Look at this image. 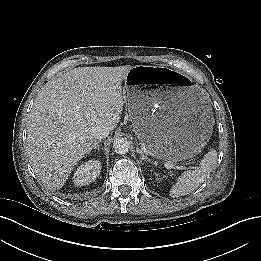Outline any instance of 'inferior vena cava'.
Instances as JSON below:
<instances>
[{
  "label": "inferior vena cava",
  "mask_w": 261,
  "mask_h": 261,
  "mask_svg": "<svg viewBox=\"0 0 261 261\" xmlns=\"http://www.w3.org/2000/svg\"><path fill=\"white\" fill-rule=\"evenodd\" d=\"M109 131V128L104 125H99L92 129L93 137L98 140L106 138L109 134Z\"/></svg>",
  "instance_id": "obj_1"
}]
</instances>
